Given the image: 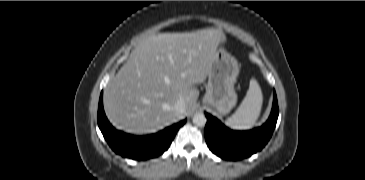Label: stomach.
I'll return each instance as SVG.
<instances>
[{
  "label": "stomach",
  "instance_id": "obj_1",
  "mask_svg": "<svg viewBox=\"0 0 365 180\" xmlns=\"http://www.w3.org/2000/svg\"><path fill=\"white\" fill-rule=\"evenodd\" d=\"M222 37L220 45L226 41L225 34L220 30ZM239 74L237 60L220 46L213 58L206 85L203 103L215 108L218 113L225 115L236 105L237 94L234 89Z\"/></svg>",
  "mask_w": 365,
  "mask_h": 180
}]
</instances>
